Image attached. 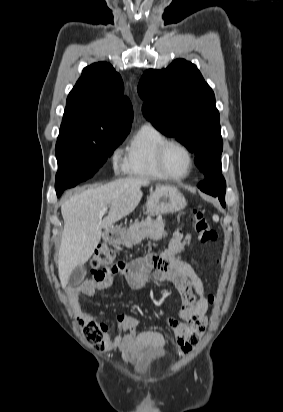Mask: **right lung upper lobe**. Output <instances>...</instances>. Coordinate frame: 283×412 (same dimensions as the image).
Instances as JSON below:
<instances>
[{"mask_svg":"<svg viewBox=\"0 0 283 412\" xmlns=\"http://www.w3.org/2000/svg\"><path fill=\"white\" fill-rule=\"evenodd\" d=\"M123 92L121 76L109 63L92 64L69 93L63 120L95 134L129 132L133 111Z\"/></svg>","mask_w":283,"mask_h":412,"instance_id":"cb5924a9","label":"right lung upper lobe"}]
</instances>
